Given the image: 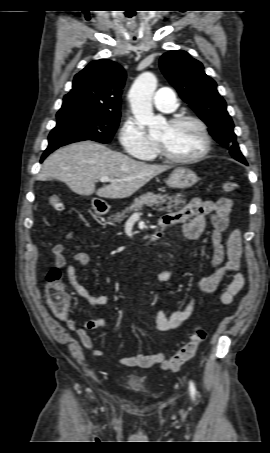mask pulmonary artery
<instances>
[{"label":"pulmonary artery","mask_w":270,"mask_h":453,"mask_svg":"<svg viewBox=\"0 0 270 453\" xmlns=\"http://www.w3.org/2000/svg\"><path fill=\"white\" fill-rule=\"evenodd\" d=\"M153 104L158 110L171 113L177 108L176 95L170 88H161L155 93Z\"/></svg>","instance_id":"pulmonary-artery-1"}]
</instances>
